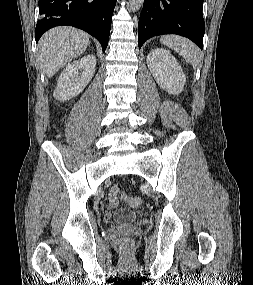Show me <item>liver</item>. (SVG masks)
<instances>
[{
  "instance_id": "1",
  "label": "liver",
  "mask_w": 253,
  "mask_h": 285,
  "mask_svg": "<svg viewBox=\"0 0 253 285\" xmlns=\"http://www.w3.org/2000/svg\"><path fill=\"white\" fill-rule=\"evenodd\" d=\"M89 35L73 27H56L47 31L38 44L40 67L47 77H52L66 63L87 49Z\"/></svg>"
}]
</instances>
